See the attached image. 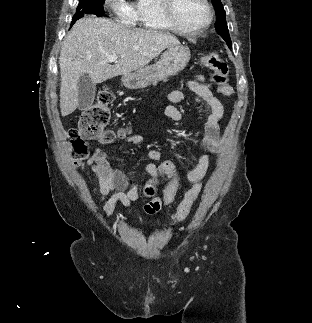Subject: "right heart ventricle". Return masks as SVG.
Wrapping results in <instances>:
<instances>
[{
  "label": "right heart ventricle",
  "instance_id": "1",
  "mask_svg": "<svg viewBox=\"0 0 312 323\" xmlns=\"http://www.w3.org/2000/svg\"><path fill=\"white\" fill-rule=\"evenodd\" d=\"M131 16H136L135 25L138 29H174L176 24L166 18V9H159L158 5H138L131 9Z\"/></svg>",
  "mask_w": 312,
  "mask_h": 323
}]
</instances>
